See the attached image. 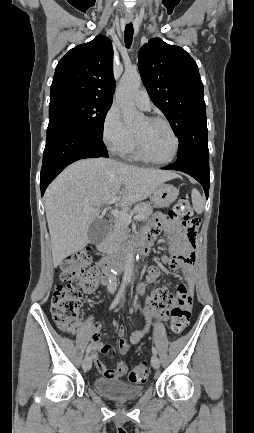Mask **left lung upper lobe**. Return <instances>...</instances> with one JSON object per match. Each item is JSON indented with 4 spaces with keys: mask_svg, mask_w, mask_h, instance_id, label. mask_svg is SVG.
Instances as JSON below:
<instances>
[{
    "mask_svg": "<svg viewBox=\"0 0 254 433\" xmlns=\"http://www.w3.org/2000/svg\"><path fill=\"white\" fill-rule=\"evenodd\" d=\"M138 68L151 100L178 137V155L208 146L203 83L192 57L183 48L154 38L140 49Z\"/></svg>",
    "mask_w": 254,
    "mask_h": 433,
    "instance_id": "left-lung-upper-lobe-1",
    "label": "left lung upper lobe"
}]
</instances>
